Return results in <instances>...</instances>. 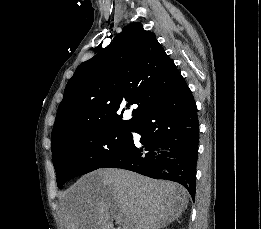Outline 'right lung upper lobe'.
<instances>
[{
    "label": "right lung upper lobe",
    "instance_id": "right-lung-upper-lobe-1",
    "mask_svg": "<svg viewBox=\"0 0 261 229\" xmlns=\"http://www.w3.org/2000/svg\"><path fill=\"white\" fill-rule=\"evenodd\" d=\"M182 78L155 34L131 23L69 79L52 130V150L82 128L133 130ZM126 101L138 105L129 121L116 113Z\"/></svg>",
    "mask_w": 261,
    "mask_h": 229
}]
</instances>
